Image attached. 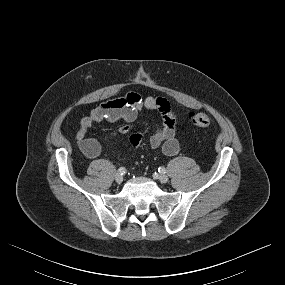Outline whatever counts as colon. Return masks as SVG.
Returning a JSON list of instances; mask_svg holds the SVG:
<instances>
[{
  "mask_svg": "<svg viewBox=\"0 0 285 285\" xmlns=\"http://www.w3.org/2000/svg\"><path fill=\"white\" fill-rule=\"evenodd\" d=\"M189 117L191 122L197 127L205 128L210 124V119L204 112H191Z\"/></svg>",
  "mask_w": 285,
  "mask_h": 285,
  "instance_id": "5ec220e1",
  "label": "colon"
}]
</instances>
